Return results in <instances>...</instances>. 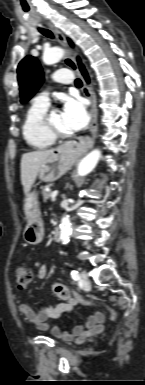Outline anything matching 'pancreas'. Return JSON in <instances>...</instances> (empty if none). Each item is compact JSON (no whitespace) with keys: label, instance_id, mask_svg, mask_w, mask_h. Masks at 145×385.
<instances>
[{"label":"pancreas","instance_id":"cf45deb5","mask_svg":"<svg viewBox=\"0 0 145 385\" xmlns=\"http://www.w3.org/2000/svg\"><path fill=\"white\" fill-rule=\"evenodd\" d=\"M42 194L44 201H47L51 197L52 192L44 188Z\"/></svg>","mask_w":145,"mask_h":385}]
</instances>
